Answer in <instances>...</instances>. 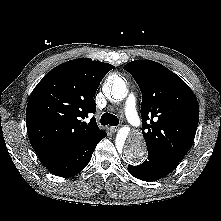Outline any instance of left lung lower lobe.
<instances>
[{"instance_id":"obj_1","label":"left lung lower lobe","mask_w":221,"mask_h":221,"mask_svg":"<svg viewBox=\"0 0 221 221\" xmlns=\"http://www.w3.org/2000/svg\"><path fill=\"white\" fill-rule=\"evenodd\" d=\"M179 161L161 152L148 149V158L138 166H128V172L143 181H156L173 171Z\"/></svg>"}]
</instances>
